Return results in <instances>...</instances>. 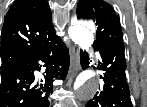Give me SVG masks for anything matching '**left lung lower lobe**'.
<instances>
[{
    "mask_svg": "<svg viewBox=\"0 0 147 107\" xmlns=\"http://www.w3.org/2000/svg\"><path fill=\"white\" fill-rule=\"evenodd\" d=\"M97 51L101 57L98 68L104 71L103 85L85 107H132L125 74L124 44L115 43ZM80 55L81 66L85 69L89 58L86 53Z\"/></svg>",
    "mask_w": 147,
    "mask_h": 107,
    "instance_id": "obj_1",
    "label": "left lung lower lobe"
}]
</instances>
